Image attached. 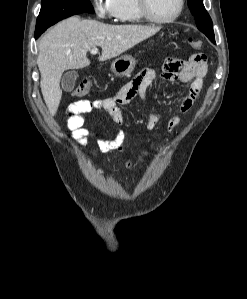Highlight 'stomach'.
<instances>
[{"mask_svg":"<svg viewBox=\"0 0 247 299\" xmlns=\"http://www.w3.org/2000/svg\"><path fill=\"white\" fill-rule=\"evenodd\" d=\"M136 60L131 55H124L115 59L111 64L112 72L118 77H129L134 71Z\"/></svg>","mask_w":247,"mask_h":299,"instance_id":"0dacf381","label":"stomach"}]
</instances>
